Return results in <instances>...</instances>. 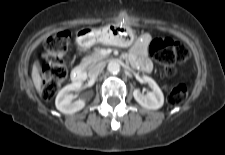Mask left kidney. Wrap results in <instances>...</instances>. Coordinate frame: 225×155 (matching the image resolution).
<instances>
[{
  "label": "left kidney",
  "instance_id": "1",
  "mask_svg": "<svg viewBox=\"0 0 225 155\" xmlns=\"http://www.w3.org/2000/svg\"><path fill=\"white\" fill-rule=\"evenodd\" d=\"M143 81L152 89L146 95H143L138 89L133 91L134 99L144 108L157 110L164 104V95L157 83L148 76H143Z\"/></svg>",
  "mask_w": 225,
  "mask_h": 155
}]
</instances>
